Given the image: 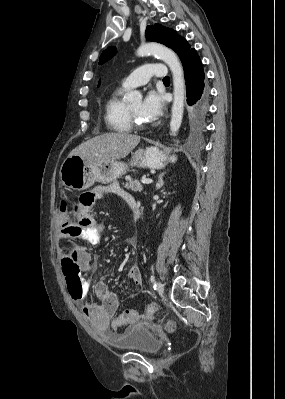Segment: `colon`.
I'll list each match as a JSON object with an SVG mask.
<instances>
[{
  "label": "colon",
  "instance_id": "5ec220e1",
  "mask_svg": "<svg viewBox=\"0 0 285 399\" xmlns=\"http://www.w3.org/2000/svg\"><path fill=\"white\" fill-rule=\"evenodd\" d=\"M97 199V195L94 193H88L80 200V206L82 207H90L93 205L94 201ZM60 212L65 217L68 211L71 208L70 201L68 199H62L59 203ZM74 219L76 224L80 227H85L87 224V220H85L84 214L80 209L74 210ZM62 272L65 277L66 285L69 290V293L74 298H80L82 289H81V267L77 262L74 255H71L68 258L62 259ZM155 306L151 305L146 307L143 312L138 308H131L122 311L118 314L112 321V325L114 328H122L136 323L141 315H146L148 317L153 316L155 313Z\"/></svg>",
  "mask_w": 285,
  "mask_h": 399
}]
</instances>
